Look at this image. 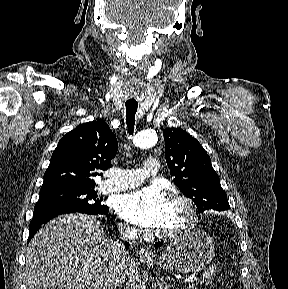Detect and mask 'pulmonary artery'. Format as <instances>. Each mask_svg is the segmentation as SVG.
<instances>
[{
	"instance_id": "obj_1",
	"label": "pulmonary artery",
	"mask_w": 288,
	"mask_h": 289,
	"mask_svg": "<svg viewBox=\"0 0 288 289\" xmlns=\"http://www.w3.org/2000/svg\"><path fill=\"white\" fill-rule=\"evenodd\" d=\"M158 170V159L150 156L144 161L142 168L112 170L110 178L100 184L99 190L103 193H111L134 188L140 185L147 176L156 175Z\"/></svg>"
}]
</instances>
